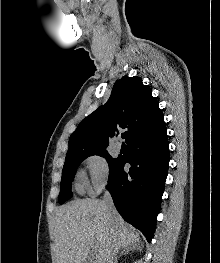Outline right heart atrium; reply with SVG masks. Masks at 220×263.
Instances as JSON below:
<instances>
[{
    "label": "right heart atrium",
    "instance_id": "1",
    "mask_svg": "<svg viewBox=\"0 0 220 263\" xmlns=\"http://www.w3.org/2000/svg\"><path fill=\"white\" fill-rule=\"evenodd\" d=\"M88 177L86 187L91 194H98L110 180V167L107 159L100 154H93L84 160Z\"/></svg>",
    "mask_w": 220,
    "mask_h": 263
}]
</instances>
